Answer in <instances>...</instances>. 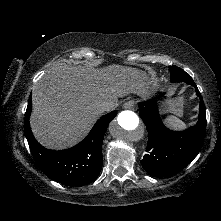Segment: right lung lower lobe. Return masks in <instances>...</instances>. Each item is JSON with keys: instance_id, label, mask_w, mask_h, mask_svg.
I'll use <instances>...</instances> for the list:
<instances>
[{"instance_id": "98d812e1", "label": "right lung lower lobe", "mask_w": 221, "mask_h": 221, "mask_svg": "<svg viewBox=\"0 0 221 221\" xmlns=\"http://www.w3.org/2000/svg\"><path fill=\"white\" fill-rule=\"evenodd\" d=\"M31 104L30 95L24 120L25 136L34 160L42 172L50 179L70 186H82L94 181L102 168L103 138L108 124L117 112L112 111L102 116L78 145L54 151L42 147L31 132L29 124Z\"/></svg>"}]
</instances>
